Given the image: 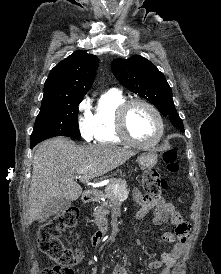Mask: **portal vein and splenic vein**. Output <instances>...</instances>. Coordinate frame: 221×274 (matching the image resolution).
Returning <instances> with one entry per match:
<instances>
[{"mask_svg":"<svg viewBox=\"0 0 221 274\" xmlns=\"http://www.w3.org/2000/svg\"><path fill=\"white\" fill-rule=\"evenodd\" d=\"M83 173H84V170H80V171L77 172V176H80V175H82ZM116 191H117V189H116Z\"/></svg>","mask_w":221,"mask_h":274,"instance_id":"obj_1","label":"portal vein and splenic vein"}]
</instances>
